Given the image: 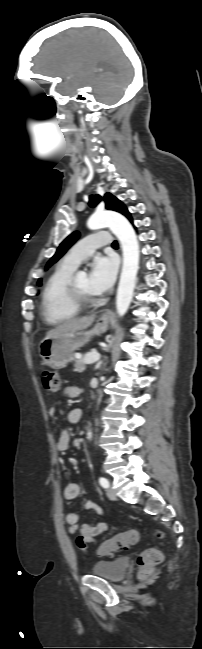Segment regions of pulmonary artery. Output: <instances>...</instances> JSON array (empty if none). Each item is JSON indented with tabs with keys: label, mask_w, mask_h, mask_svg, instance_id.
Returning a JSON list of instances; mask_svg holds the SVG:
<instances>
[{
	"label": "pulmonary artery",
	"mask_w": 202,
	"mask_h": 649,
	"mask_svg": "<svg viewBox=\"0 0 202 649\" xmlns=\"http://www.w3.org/2000/svg\"><path fill=\"white\" fill-rule=\"evenodd\" d=\"M112 239L107 231H100L86 236L71 247L62 263L73 268L91 255L97 248L111 245Z\"/></svg>",
	"instance_id": "pulmonary-artery-1"
}]
</instances>
